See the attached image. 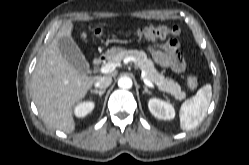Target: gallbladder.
Returning <instances> with one entry per match:
<instances>
[{
    "label": "gallbladder",
    "instance_id": "1",
    "mask_svg": "<svg viewBox=\"0 0 249 165\" xmlns=\"http://www.w3.org/2000/svg\"><path fill=\"white\" fill-rule=\"evenodd\" d=\"M58 46L62 56L67 62L73 65L76 70L82 74L89 72L88 62L71 37H61Z\"/></svg>",
    "mask_w": 249,
    "mask_h": 165
}]
</instances>
